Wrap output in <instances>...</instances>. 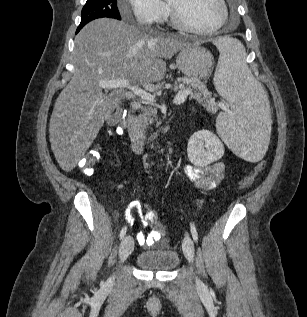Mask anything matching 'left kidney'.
Instances as JSON below:
<instances>
[{
  "mask_svg": "<svg viewBox=\"0 0 307 317\" xmlns=\"http://www.w3.org/2000/svg\"><path fill=\"white\" fill-rule=\"evenodd\" d=\"M224 151L221 140L209 130L194 133L188 141V158L195 166L204 167L219 160Z\"/></svg>",
  "mask_w": 307,
  "mask_h": 317,
  "instance_id": "5707ae66",
  "label": "left kidney"
}]
</instances>
